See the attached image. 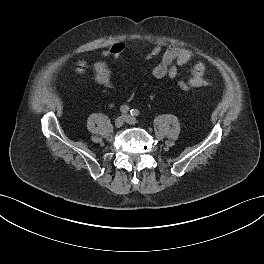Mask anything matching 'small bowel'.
<instances>
[{"mask_svg":"<svg viewBox=\"0 0 264 264\" xmlns=\"http://www.w3.org/2000/svg\"><path fill=\"white\" fill-rule=\"evenodd\" d=\"M194 57L196 56L190 49L169 45L164 49L160 62L152 69L151 75L155 79H174L177 77L179 69ZM89 65L93 68L96 83L109 88L113 86L110 69L101 59L79 60L76 65V72L80 75L84 74ZM206 73L207 67L205 63L198 61L191 69L189 81L194 87L206 86L209 84V80L205 77Z\"/></svg>","mask_w":264,"mask_h":264,"instance_id":"c3829d8e","label":"small bowel"}]
</instances>
